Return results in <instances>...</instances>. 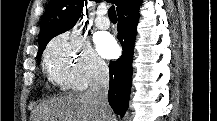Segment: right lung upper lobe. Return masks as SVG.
<instances>
[{
	"label": "right lung upper lobe",
	"mask_w": 217,
	"mask_h": 121,
	"mask_svg": "<svg viewBox=\"0 0 217 121\" xmlns=\"http://www.w3.org/2000/svg\"><path fill=\"white\" fill-rule=\"evenodd\" d=\"M99 1V0H97ZM117 11L125 0H111ZM87 0H50L40 23L39 50L58 34L71 29L83 15Z\"/></svg>",
	"instance_id": "obj_1"
}]
</instances>
